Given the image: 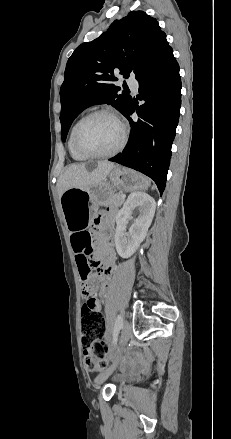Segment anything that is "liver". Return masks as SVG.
<instances>
[{"instance_id":"liver-1","label":"liver","mask_w":231,"mask_h":439,"mask_svg":"<svg viewBox=\"0 0 231 439\" xmlns=\"http://www.w3.org/2000/svg\"><path fill=\"white\" fill-rule=\"evenodd\" d=\"M113 168L115 164L107 161L98 162L93 171H88L84 163L69 165L57 182L59 197L70 188H90L100 183Z\"/></svg>"}]
</instances>
